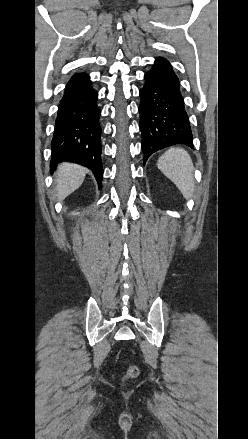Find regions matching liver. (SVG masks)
<instances>
[{
  "mask_svg": "<svg viewBox=\"0 0 248 439\" xmlns=\"http://www.w3.org/2000/svg\"><path fill=\"white\" fill-rule=\"evenodd\" d=\"M87 169L79 165L62 163L55 174L56 197L58 201L64 200L68 195L78 189L85 178Z\"/></svg>",
  "mask_w": 248,
  "mask_h": 439,
  "instance_id": "6515ba94",
  "label": "liver"
}]
</instances>
